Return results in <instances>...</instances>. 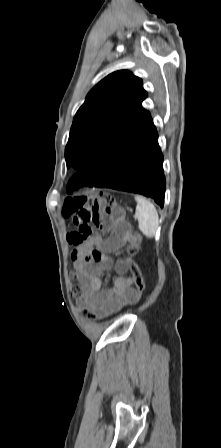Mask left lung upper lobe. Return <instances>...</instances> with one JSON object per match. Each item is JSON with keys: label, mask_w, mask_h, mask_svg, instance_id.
<instances>
[{"label": "left lung upper lobe", "mask_w": 221, "mask_h": 448, "mask_svg": "<svg viewBox=\"0 0 221 448\" xmlns=\"http://www.w3.org/2000/svg\"><path fill=\"white\" fill-rule=\"evenodd\" d=\"M147 97L142 80L127 70L101 80L77 111L65 148L67 167L99 166L150 117L142 106Z\"/></svg>", "instance_id": "5c2ea615"}]
</instances>
